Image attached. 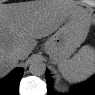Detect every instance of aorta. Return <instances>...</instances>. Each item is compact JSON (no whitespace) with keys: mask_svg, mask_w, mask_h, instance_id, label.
<instances>
[{"mask_svg":"<svg viewBox=\"0 0 95 95\" xmlns=\"http://www.w3.org/2000/svg\"><path fill=\"white\" fill-rule=\"evenodd\" d=\"M45 69H46L45 63L39 59L32 60L29 65V71L33 75H38V76L42 75L44 74Z\"/></svg>","mask_w":95,"mask_h":95,"instance_id":"aorta-1","label":"aorta"}]
</instances>
